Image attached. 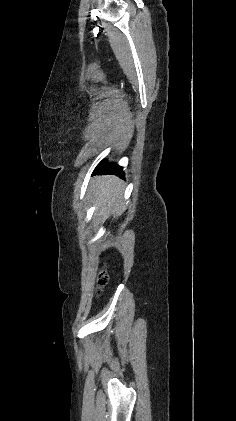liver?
Returning a JSON list of instances; mask_svg holds the SVG:
<instances>
[{
    "label": "liver",
    "instance_id": "obj_1",
    "mask_svg": "<svg viewBox=\"0 0 236 421\" xmlns=\"http://www.w3.org/2000/svg\"><path fill=\"white\" fill-rule=\"evenodd\" d=\"M94 200L103 217L118 211L120 198L123 192V180L117 176H96Z\"/></svg>",
    "mask_w": 236,
    "mask_h": 421
}]
</instances>
